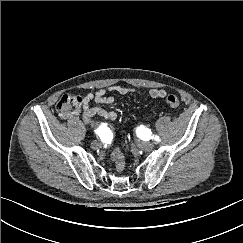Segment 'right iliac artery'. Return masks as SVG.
<instances>
[{"label":"right iliac artery","mask_w":243,"mask_h":243,"mask_svg":"<svg viewBox=\"0 0 243 243\" xmlns=\"http://www.w3.org/2000/svg\"><path fill=\"white\" fill-rule=\"evenodd\" d=\"M105 128V126H101L98 130H97V134L101 135L103 137V129Z\"/></svg>","instance_id":"82829eb1"}]
</instances>
